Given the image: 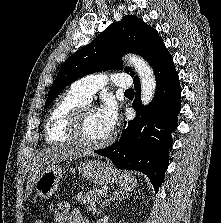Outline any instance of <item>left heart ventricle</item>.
<instances>
[{
	"label": "left heart ventricle",
	"mask_w": 221,
	"mask_h": 223,
	"mask_svg": "<svg viewBox=\"0 0 221 223\" xmlns=\"http://www.w3.org/2000/svg\"><path fill=\"white\" fill-rule=\"evenodd\" d=\"M110 134L103 124L97 110H91L86 113L82 122V138L83 140L96 143L104 140Z\"/></svg>",
	"instance_id": "left-heart-ventricle-1"
}]
</instances>
